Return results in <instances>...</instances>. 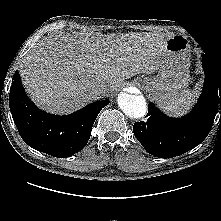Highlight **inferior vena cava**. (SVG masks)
<instances>
[{
    "mask_svg": "<svg viewBox=\"0 0 221 221\" xmlns=\"http://www.w3.org/2000/svg\"><path fill=\"white\" fill-rule=\"evenodd\" d=\"M107 91L108 86L105 83H98L95 86H93V93L98 97L105 95Z\"/></svg>",
    "mask_w": 221,
    "mask_h": 221,
    "instance_id": "inferior-vena-cava-1",
    "label": "inferior vena cava"
}]
</instances>
